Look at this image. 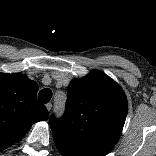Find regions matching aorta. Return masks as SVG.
<instances>
[{
	"instance_id": "762f6f07",
	"label": "aorta",
	"mask_w": 156,
	"mask_h": 156,
	"mask_svg": "<svg viewBox=\"0 0 156 156\" xmlns=\"http://www.w3.org/2000/svg\"><path fill=\"white\" fill-rule=\"evenodd\" d=\"M56 104H57L58 107H59L58 110H59L60 112H62V110H63V108H64L63 103L56 102Z\"/></svg>"
}]
</instances>
